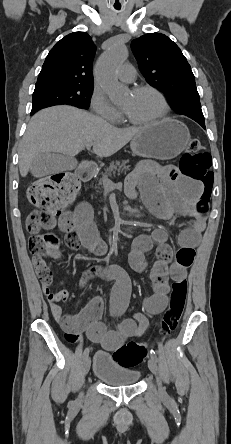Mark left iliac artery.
Wrapping results in <instances>:
<instances>
[{
    "mask_svg": "<svg viewBox=\"0 0 231 444\" xmlns=\"http://www.w3.org/2000/svg\"><path fill=\"white\" fill-rule=\"evenodd\" d=\"M151 353V357H154L155 359H157L156 353L153 349L150 350Z\"/></svg>",
    "mask_w": 231,
    "mask_h": 444,
    "instance_id": "44dca946",
    "label": "left iliac artery"
}]
</instances>
